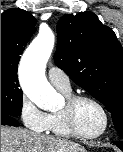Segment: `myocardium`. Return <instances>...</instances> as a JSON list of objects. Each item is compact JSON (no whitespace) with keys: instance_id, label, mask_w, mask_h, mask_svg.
Wrapping results in <instances>:
<instances>
[{"instance_id":"f54148a6","label":"myocardium","mask_w":123,"mask_h":152,"mask_svg":"<svg viewBox=\"0 0 123 152\" xmlns=\"http://www.w3.org/2000/svg\"><path fill=\"white\" fill-rule=\"evenodd\" d=\"M81 101H88L94 104L96 107L99 108L101 111L103 118H104V124L103 127L101 128L100 131L94 134H86L81 132L76 124L75 120V108L77 104ZM65 124L69 131L73 134V136L82 138V139H95L100 136H102L108 129L109 127V115L104 107V105L98 101L96 98L90 96V95H85V94H71L70 96L66 97L65 100V105L63 109L61 110Z\"/></svg>"}]
</instances>
